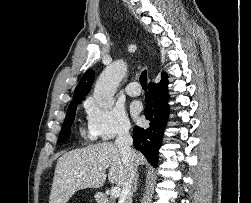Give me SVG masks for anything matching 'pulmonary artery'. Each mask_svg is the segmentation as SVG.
Segmentation results:
<instances>
[{
    "label": "pulmonary artery",
    "mask_w": 251,
    "mask_h": 203,
    "mask_svg": "<svg viewBox=\"0 0 251 203\" xmlns=\"http://www.w3.org/2000/svg\"><path fill=\"white\" fill-rule=\"evenodd\" d=\"M125 91L130 96H138L141 93L137 82L133 81L126 85Z\"/></svg>",
    "instance_id": "pulmonary-artery-1"
}]
</instances>
